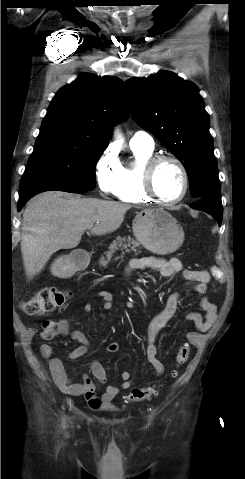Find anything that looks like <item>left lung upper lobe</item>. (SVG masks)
I'll return each mask as SVG.
<instances>
[{"label":"left lung upper lobe","mask_w":245,"mask_h":479,"mask_svg":"<svg viewBox=\"0 0 245 479\" xmlns=\"http://www.w3.org/2000/svg\"><path fill=\"white\" fill-rule=\"evenodd\" d=\"M137 123L152 133L185 167L198 199L220 190L210 120L198 88L161 71L126 82Z\"/></svg>","instance_id":"5c2ea615"}]
</instances>
